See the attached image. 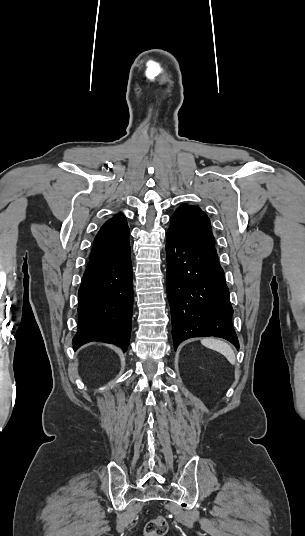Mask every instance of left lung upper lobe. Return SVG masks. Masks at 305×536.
<instances>
[{
    "instance_id": "left-lung-upper-lobe-1",
    "label": "left lung upper lobe",
    "mask_w": 305,
    "mask_h": 536,
    "mask_svg": "<svg viewBox=\"0 0 305 536\" xmlns=\"http://www.w3.org/2000/svg\"><path fill=\"white\" fill-rule=\"evenodd\" d=\"M168 232L200 246L215 247V239L208 216L194 205H181L170 218Z\"/></svg>"
}]
</instances>
